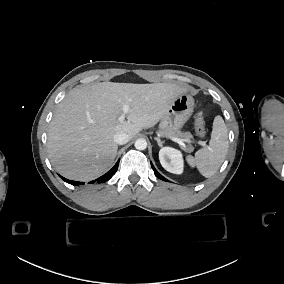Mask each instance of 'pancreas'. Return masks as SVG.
<instances>
[{
	"label": "pancreas",
	"mask_w": 284,
	"mask_h": 284,
	"mask_svg": "<svg viewBox=\"0 0 284 284\" xmlns=\"http://www.w3.org/2000/svg\"><path fill=\"white\" fill-rule=\"evenodd\" d=\"M179 126H176L172 131L167 132L165 130H160L158 133L161 136H172V137H177V138H183V139H191L193 136L190 132H181L178 130ZM186 152H192L194 148L192 146H188L187 148L184 149Z\"/></svg>",
	"instance_id": "pancreas-1"
}]
</instances>
